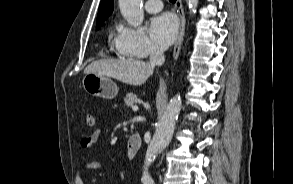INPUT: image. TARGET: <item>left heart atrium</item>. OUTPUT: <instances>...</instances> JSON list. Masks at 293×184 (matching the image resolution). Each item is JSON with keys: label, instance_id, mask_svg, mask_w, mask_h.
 <instances>
[{"label": "left heart atrium", "instance_id": "left-heart-atrium-1", "mask_svg": "<svg viewBox=\"0 0 293 184\" xmlns=\"http://www.w3.org/2000/svg\"><path fill=\"white\" fill-rule=\"evenodd\" d=\"M178 31V22L170 13H162L151 20L149 33L153 41L162 48L169 46Z\"/></svg>", "mask_w": 293, "mask_h": 184}]
</instances>
